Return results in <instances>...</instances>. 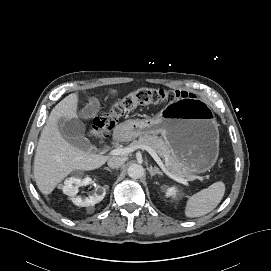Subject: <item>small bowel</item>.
Here are the masks:
<instances>
[{
  "label": "small bowel",
  "mask_w": 271,
  "mask_h": 271,
  "mask_svg": "<svg viewBox=\"0 0 271 271\" xmlns=\"http://www.w3.org/2000/svg\"><path fill=\"white\" fill-rule=\"evenodd\" d=\"M98 109V102L96 99H92L84 108L80 109L75 115L74 119H89L94 116ZM59 128L62 134L75 144H83L84 138L81 133V127L79 124L73 125L68 121H61Z\"/></svg>",
  "instance_id": "c3829d8e"
}]
</instances>
